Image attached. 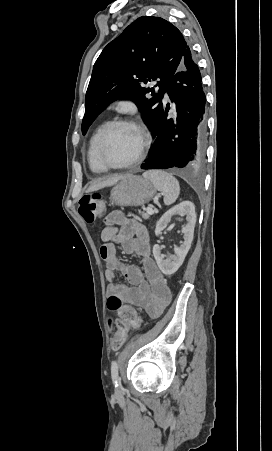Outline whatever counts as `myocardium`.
Here are the masks:
<instances>
[{
    "instance_id": "myocardium-1",
    "label": "myocardium",
    "mask_w": 272,
    "mask_h": 451,
    "mask_svg": "<svg viewBox=\"0 0 272 451\" xmlns=\"http://www.w3.org/2000/svg\"><path fill=\"white\" fill-rule=\"evenodd\" d=\"M114 127H124L129 130H131L134 133V144H133V150L131 153L130 158L121 166L116 168H109L104 164L103 156H102V150L107 138L108 133L113 129ZM146 133L142 127H140L138 124L132 121L127 120H113L108 122L100 132V135L98 137L97 145H96V157L99 164L100 172L106 173V172H121L125 169H127L139 156L141 153L144 142L146 140Z\"/></svg>"
}]
</instances>
